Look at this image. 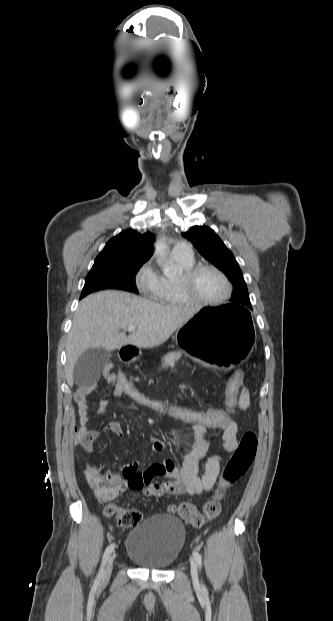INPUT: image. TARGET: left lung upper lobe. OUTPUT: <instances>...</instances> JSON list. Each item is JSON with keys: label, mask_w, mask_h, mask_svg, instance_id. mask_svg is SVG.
<instances>
[{"label": "left lung upper lobe", "mask_w": 333, "mask_h": 621, "mask_svg": "<svg viewBox=\"0 0 333 621\" xmlns=\"http://www.w3.org/2000/svg\"><path fill=\"white\" fill-rule=\"evenodd\" d=\"M195 246L201 255L214 264L233 282L231 303L241 308H252L246 283L232 252L225 246L215 232L206 226H194L182 234Z\"/></svg>", "instance_id": "obj_1"}]
</instances>
